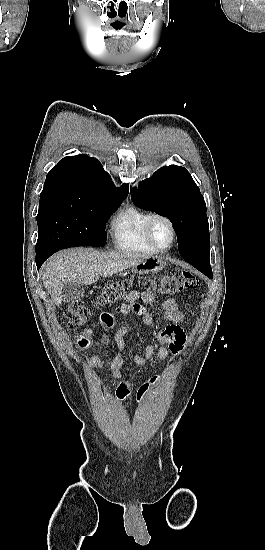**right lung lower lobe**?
<instances>
[{"mask_svg": "<svg viewBox=\"0 0 265 550\" xmlns=\"http://www.w3.org/2000/svg\"><path fill=\"white\" fill-rule=\"evenodd\" d=\"M48 255H36V265L39 269L41 265L44 263V261L48 258Z\"/></svg>", "mask_w": 265, "mask_h": 550, "instance_id": "1", "label": "right lung lower lobe"}]
</instances>
